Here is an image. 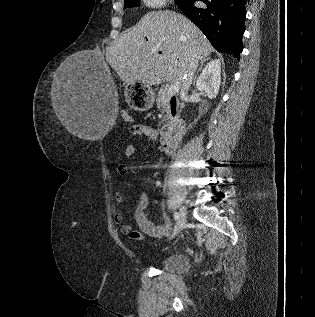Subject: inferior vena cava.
<instances>
[{"instance_id":"inferior-vena-cava-1","label":"inferior vena cava","mask_w":315,"mask_h":317,"mask_svg":"<svg viewBox=\"0 0 315 317\" xmlns=\"http://www.w3.org/2000/svg\"><path fill=\"white\" fill-rule=\"evenodd\" d=\"M197 69V62L191 61L189 65V69L185 76L182 79V88H181V98L185 99L187 96V92L192 84L194 73Z\"/></svg>"}]
</instances>
